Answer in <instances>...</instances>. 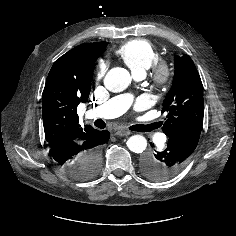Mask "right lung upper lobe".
Here are the masks:
<instances>
[{"label": "right lung upper lobe", "instance_id": "right-lung-upper-lobe-1", "mask_svg": "<svg viewBox=\"0 0 236 236\" xmlns=\"http://www.w3.org/2000/svg\"><path fill=\"white\" fill-rule=\"evenodd\" d=\"M107 44H81L53 64L42 94L43 126L49 147L80 143L98 131L90 125L81 127L76 109L89 97L95 61Z\"/></svg>", "mask_w": 236, "mask_h": 236}]
</instances>
